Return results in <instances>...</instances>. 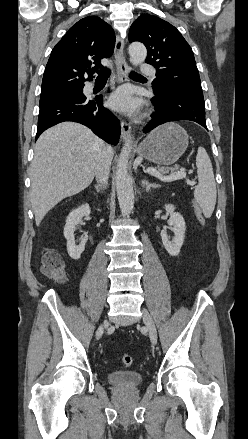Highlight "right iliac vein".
<instances>
[{
    "label": "right iliac vein",
    "instance_id": "1",
    "mask_svg": "<svg viewBox=\"0 0 248 439\" xmlns=\"http://www.w3.org/2000/svg\"><path fill=\"white\" fill-rule=\"evenodd\" d=\"M102 326H103V329H102V334H103V333H104V330L107 329V328L109 327V323H108V321L105 320V321L103 322ZM101 336H102V335H101ZM101 336H99V337H101Z\"/></svg>",
    "mask_w": 248,
    "mask_h": 439
}]
</instances>
